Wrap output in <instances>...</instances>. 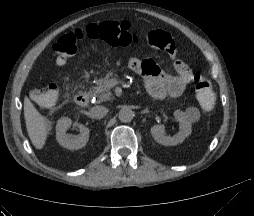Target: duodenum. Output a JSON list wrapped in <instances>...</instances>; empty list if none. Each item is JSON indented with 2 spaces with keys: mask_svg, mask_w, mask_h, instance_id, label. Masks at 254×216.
Instances as JSON below:
<instances>
[{
  "mask_svg": "<svg viewBox=\"0 0 254 216\" xmlns=\"http://www.w3.org/2000/svg\"><path fill=\"white\" fill-rule=\"evenodd\" d=\"M74 99L77 105L84 107L89 102V95L85 92H81L78 93Z\"/></svg>",
  "mask_w": 254,
  "mask_h": 216,
  "instance_id": "410a0bca",
  "label": "duodenum"
}]
</instances>
